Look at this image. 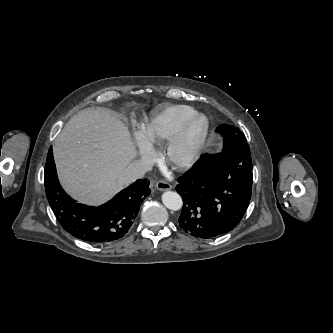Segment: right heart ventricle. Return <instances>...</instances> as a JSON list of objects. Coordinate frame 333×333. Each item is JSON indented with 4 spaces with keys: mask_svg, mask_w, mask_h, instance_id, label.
Listing matches in <instances>:
<instances>
[{
    "mask_svg": "<svg viewBox=\"0 0 333 333\" xmlns=\"http://www.w3.org/2000/svg\"><path fill=\"white\" fill-rule=\"evenodd\" d=\"M196 112L194 107L185 104L162 106L144 124L142 136L150 146L163 144L174 136L188 116Z\"/></svg>",
    "mask_w": 333,
    "mask_h": 333,
    "instance_id": "obj_1",
    "label": "right heart ventricle"
}]
</instances>
